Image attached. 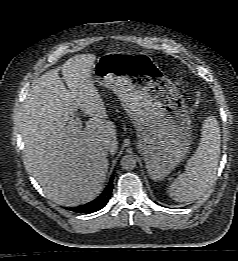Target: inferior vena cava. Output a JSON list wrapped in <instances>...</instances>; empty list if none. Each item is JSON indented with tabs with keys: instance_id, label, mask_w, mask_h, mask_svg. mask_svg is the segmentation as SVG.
Returning <instances> with one entry per match:
<instances>
[{
	"instance_id": "602c4592",
	"label": "inferior vena cava",
	"mask_w": 238,
	"mask_h": 261,
	"mask_svg": "<svg viewBox=\"0 0 238 261\" xmlns=\"http://www.w3.org/2000/svg\"><path fill=\"white\" fill-rule=\"evenodd\" d=\"M109 148H110L109 145H108V144H105L103 149H104L106 152H108Z\"/></svg>"
}]
</instances>
